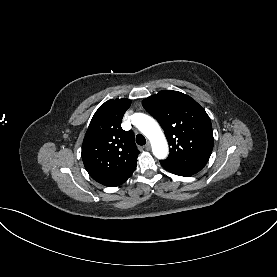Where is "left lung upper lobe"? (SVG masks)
Returning a JSON list of instances; mask_svg holds the SVG:
<instances>
[{"label":"left lung upper lobe","mask_w":277,"mask_h":277,"mask_svg":"<svg viewBox=\"0 0 277 277\" xmlns=\"http://www.w3.org/2000/svg\"><path fill=\"white\" fill-rule=\"evenodd\" d=\"M162 126L170 148L161 164L203 168L213 149V132L206 111L190 96L160 91L142 102Z\"/></svg>","instance_id":"5c2ea615"}]
</instances>
